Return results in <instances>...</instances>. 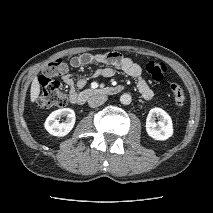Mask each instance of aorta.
<instances>
[{
  "label": "aorta",
  "mask_w": 213,
  "mask_h": 213,
  "mask_svg": "<svg viewBox=\"0 0 213 213\" xmlns=\"http://www.w3.org/2000/svg\"><path fill=\"white\" fill-rule=\"evenodd\" d=\"M132 101L131 95L124 93L120 96V102L124 105H129Z\"/></svg>",
  "instance_id": "762f6f07"
}]
</instances>
